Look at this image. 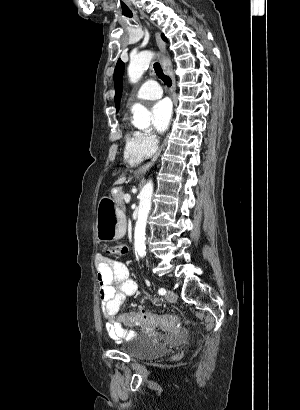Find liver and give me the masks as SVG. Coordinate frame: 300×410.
Here are the masks:
<instances>
[{"mask_svg":"<svg viewBox=\"0 0 300 410\" xmlns=\"http://www.w3.org/2000/svg\"><path fill=\"white\" fill-rule=\"evenodd\" d=\"M125 180H126L125 177H121L120 179L117 180L116 184H122L125 182Z\"/></svg>","mask_w":300,"mask_h":410,"instance_id":"6515ba94","label":"liver"}]
</instances>
